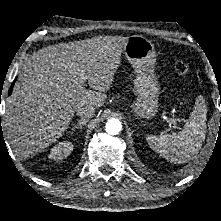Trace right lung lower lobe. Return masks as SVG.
<instances>
[{
    "mask_svg": "<svg viewBox=\"0 0 221 221\" xmlns=\"http://www.w3.org/2000/svg\"><path fill=\"white\" fill-rule=\"evenodd\" d=\"M15 81H16V79L13 81V83H12V85H11L10 89H9V95H10V94H11V92H12V89H13V86H14Z\"/></svg>",
    "mask_w": 221,
    "mask_h": 221,
    "instance_id": "right-lung-lower-lobe-1",
    "label": "right lung lower lobe"
}]
</instances>
